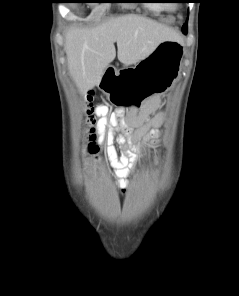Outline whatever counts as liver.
<instances>
[{"label": "liver", "mask_w": 239, "mask_h": 296, "mask_svg": "<svg viewBox=\"0 0 239 296\" xmlns=\"http://www.w3.org/2000/svg\"><path fill=\"white\" fill-rule=\"evenodd\" d=\"M174 29L137 14L114 17L95 28H70L64 49L68 70L80 94L99 85L104 70L116 57L125 64H136L165 40H180Z\"/></svg>", "instance_id": "obj_1"}]
</instances>
